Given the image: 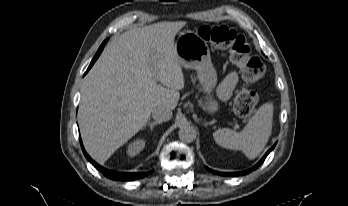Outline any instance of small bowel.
Returning <instances> with one entry per match:
<instances>
[{
	"instance_id": "obj_1",
	"label": "small bowel",
	"mask_w": 348,
	"mask_h": 206,
	"mask_svg": "<svg viewBox=\"0 0 348 206\" xmlns=\"http://www.w3.org/2000/svg\"><path fill=\"white\" fill-rule=\"evenodd\" d=\"M238 83V75L236 72H231L227 77L222 81L218 88V95L221 100H228L234 88Z\"/></svg>"
}]
</instances>
